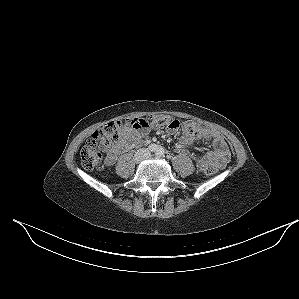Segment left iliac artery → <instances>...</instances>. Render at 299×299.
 <instances>
[{
  "label": "left iliac artery",
  "instance_id": "obj_1",
  "mask_svg": "<svg viewBox=\"0 0 299 299\" xmlns=\"http://www.w3.org/2000/svg\"><path fill=\"white\" fill-rule=\"evenodd\" d=\"M164 154H165V151H164L163 148H159V149L157 150V152H156V155H157L158 157L164 156Z\"/></svg>",
  "mask_w": 299,
  "mask_h": 299
}]
</instances>
